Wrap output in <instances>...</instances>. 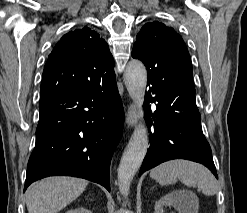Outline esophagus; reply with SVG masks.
Returning <instances> with one entry per match:
<instances>
[{"label":"esophagus","instance_id":"esophagus-1","mask_svg":"<svg viewBox=\"0 0 247 213\" xmlns=\"http://www.w3.org/2000/svg\"><path fill=\"white\" fill-rule=\"evenodd\" d=\"M138 115L136 106L134 104H130L128 106L127 115H126V123L128 127H134L137 123Z\"/></svg>","mask_w":247,"mask_h":213}]
</instances>
